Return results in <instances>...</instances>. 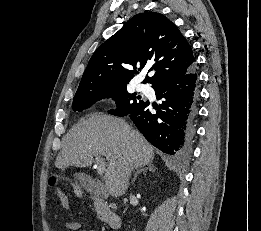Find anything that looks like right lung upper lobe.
I'll return each instance as SVG.
<instances>
[{"instance_id":"cb5924a9","label":"right lung upper lobe","mask_w":261,"mask_h":231,"mask_svg":"<svg viewBox=\"0 0 261 231\" xmlns=\"http://www.w3.org/2000/svg\"><path fill=\"white\" fill-rule=\"evenodd\" d=\"M145 65L156 72L143 83L153 86L195 66L186 38L173 22L156 12L135 15L95 51L75 96L126 86L138 73L137 66L140 71Z\"/></svg>"}]
</instances>
